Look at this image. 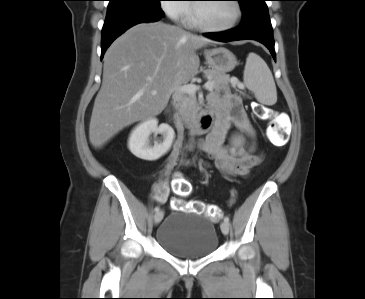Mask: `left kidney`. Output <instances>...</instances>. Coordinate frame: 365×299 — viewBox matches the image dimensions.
Segmentation results:
<instances>
[{
  "instance_id": "obj_1",
  "label": "left kidney",
  "mask_w": 365,
  "mask_h": 299,
  "mask_svg": "<svg viewBox=\"0 0 365 299\" xmlns=\"http://www.w3.org/2000/svg\"><path fill=\"white\" fill-rule=\"evenodd\" d=\"M240 141H241L240 139H239V140H238V139H236V140H235V144L239 145V144H240Z\"/></svg>"
}]
</instances>
